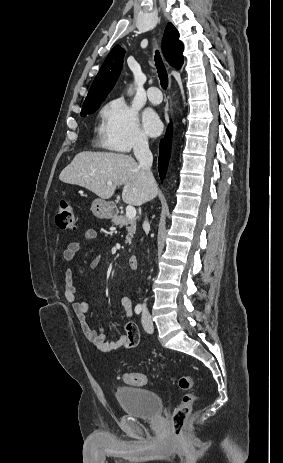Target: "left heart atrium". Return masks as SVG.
<instances>
[{
    "instance_id": "39dd6f15",
    "label": "left heart atrium",
    "mask_w": 283,
    "mask_h": 463,
    "mask_svg": "<svg viewBox=\"0 0 283 463\" xmlns=\"http://www.w3.org/2000/svg\"><path fill=\"white\" fill-rule=\"evenodd\" d=\"M143 127L149 136L155 137L160 134L162 123L154 112L146 111L143 115Z\"/></svg>"
}]
</instances>
